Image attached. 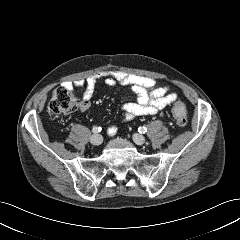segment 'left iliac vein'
Masks as SVG:
<instances>
[{
    "mask_svg": "<svg viewBox=\"0 0 240 240\" xmlns=\"http://www.w3.org/2000/svg\"><path fill=\"white\" fill-rule=\"evenodd\" d=\"M133 141L137 144V145H143L145 143V137L141 134H133Z\"/></svg>",
    "mask_w": 240,
    "mask_h": 240,
    "instance_id": "left-iliac-vein-1",
    "label": "left iliac vein"
}]
</instances>
